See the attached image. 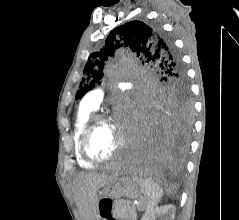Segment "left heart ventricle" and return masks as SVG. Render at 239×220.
Masks as SVG:
<instances>
[{
    "instance_id": "left-heart-ventricle-1",
    "label": "left heart ventricle",
    "mask_w": 239,
    "mask_h": 220,
    "mask_svg": "<svg viewBox=\"0 0 239 220\" xmlns=\"http://www.w3.org/2000/svg\"><path fill=\"white\" fill-rule=\"evenodd\" d=\"M121 132L114 123H99L91 133L89 149L96 157H105L116 148Z\"/></svg>"
}]
</instances>
